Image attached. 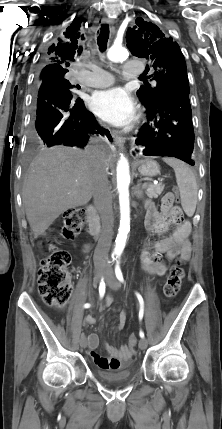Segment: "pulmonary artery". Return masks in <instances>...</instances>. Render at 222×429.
I'll return each mask as SVG.
<instances>
[{"label":"pulmonary artery","mask_w":222,"mask_h":429,"mask_svg":"<svg viewBox=\"0 0 222 429\" xmlns=\"http://www.w3.org/2000/svg\"><path fill=\"white\" fill-rule=\"evenodd\" d=\"M89 68L91 71L87 72L88 76L80 78V82L83 85L100 88L109 86L113 83L114 77L109 72L97 66H89ZM142 72L143 69L140 67L138 62L129 61L123 66V74L128 78L137 77Z\"/></svg>","instance_id":"obj_1"}]
</instances>
